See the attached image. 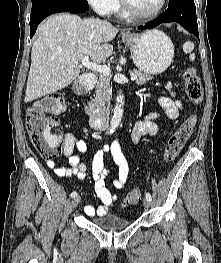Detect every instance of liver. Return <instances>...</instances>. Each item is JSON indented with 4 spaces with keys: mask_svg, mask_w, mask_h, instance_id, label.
<instances>
[{
    "mask_svg": "<svg viewBox=\"0 0 221 263\" xmlns=\"http://www.w3.org/2000/svg\"><path fill=\"white\" fill-rule=\"evenodd\" d=\"M119 29L96 18L55 14L42 23L31 51L25 103L61 90L80 74L79 61L89 56L101 63L113 51Z\"/></svg>",
    "mask_w": 221,
    "mask_h": 263,
    "instance_id": "liver-1",
    "label": "liver"
}]
</instances>
